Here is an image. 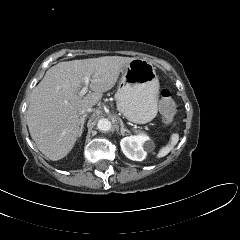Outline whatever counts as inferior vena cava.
Wrapping results in <instances>:
<instances>
[{"instance_id":"obj_1","label":"inferior vena cava","mask_w":240,"mask_h":240,"mask_svg":"<svg viewBox=\"0 0 240 240\" xmlns=\"http://www.w3.org/2000/svg\"><path fill=\"white\" fill-rule=\"evenodd\" d=\"M92 111V108L91 107H86V108H83L81 111H80V115H85L87 114L88 112H91ZM81 116V117H82Z\"/></svg>"}]
</instances>
